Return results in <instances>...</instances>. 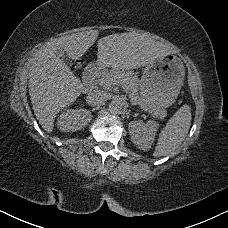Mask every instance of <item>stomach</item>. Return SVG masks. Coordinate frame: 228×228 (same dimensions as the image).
Masks as SVG:
<instances>
[{"mask_svg": "<svg viewBox=\"0 0 228 228\" xmlns=\"http://www.w3.org/2000/svg\"><path fill=\"white\" fill-rule=\"evenodd\" d=\"M183 79L182 61L170 54L143 70L139 80V98L149 109L169 108L178 98Z\"/></svg>", "mask_w": 228, "mask_h": 228, "instance_id": "stomach-1", "label": "stomach"}]
</instances>
